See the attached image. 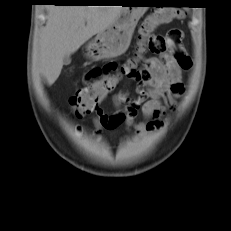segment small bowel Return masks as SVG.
Listing matches in <instances>:
<instances>
[{
	"label": "small bowel",
	"mask_w": 231,
	"mask_h": 231,
	"mask_svg": "<svg viewBox=\"0 0 231 231\" xmlns=\"http://www.w3.org/2000/svg\"><path fill=\"white\" fill-rule=\"evenodd\" d=\"M163 38L166 50L158 57L143 60V77L136 80V96L131 97L127 92L114 95L116 111L112 115L100 108L95 111L93 123L96 133L103 129H116L122 124L138 132L149 131L157 128L161 124L159 118L174 107L176 99L184 92L182 71L190 69L192 62L182 46L183 33L180 30H171ZM119 67L118 63L109 62L91 70L88 78L111 75ZM139 113L144 121L137 124L135 118Z\"/></svg>",
	"instance_id": "c3829d8e"
}]
</instances>
